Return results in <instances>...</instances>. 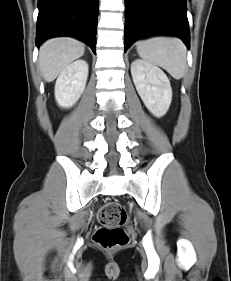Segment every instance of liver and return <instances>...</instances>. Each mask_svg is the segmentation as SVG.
Returning <instances> with one entry per match:
<instances>
[{
  "label": "liver",
  "mask_w": 231,
  "mask_h": 281,
  "mask_svg": "<svg viewBox=\"0 0 231 281\" xmlns=\"http://www.w3.org/2000/svg\"><path fill=\"white\" fill-rule=\"evenodd\" d=\"M84 52V44L73 38L60 37L47 40L39 50V68L45 81H53Z\"/></svg>",
  "instance_id": "obj_1"
}]
</instances>
